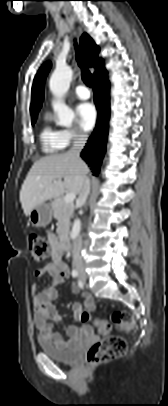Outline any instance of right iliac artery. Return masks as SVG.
Wrapping results in <instances>:
<instances>
[{
	"instance_id": "right-iliac-artery-1",
	"label": "right iliac artery",
	"mask_w": 168,
	"mask_h": 406,
	"mask_svg": "<svg viewBox=\"0 0 168 406\" xmlns=\"http://www.w3.org/2000/svg\"><path fill=\"white\" fill-rule=\"evenodd\" d=\"M73 277H77L78 276V271L77 270H72L71 272Z\"/></svg>"
}]
</instances>
